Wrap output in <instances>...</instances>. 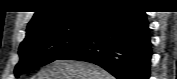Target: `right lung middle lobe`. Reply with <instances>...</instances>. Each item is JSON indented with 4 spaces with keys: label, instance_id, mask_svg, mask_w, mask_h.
Wrapping results in <instances>:
<instances>
[{
    "label": "right lung middle lobe",
    "instance_id": "obj_1",
    "mask_svg": "<svg viewBox=\"0 0 177 79\" xmlns=\"http://www.w3.org/2000/svg\"><path fill=\"white\" fill-rule=\"evenodd\" d=\"M99 17L100 14L92 13L28 32L19 48L20 62L15 67V76L58 60L74 49L90 34Z\"/></svg>",
    "mask_w": 177,
    "mask_h": 79
}]
</instances>
